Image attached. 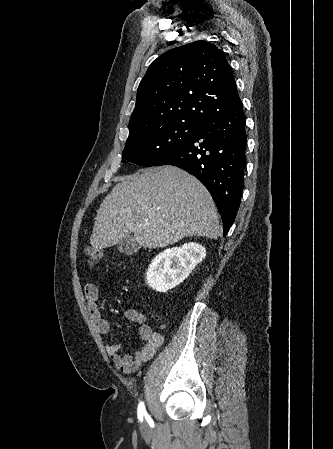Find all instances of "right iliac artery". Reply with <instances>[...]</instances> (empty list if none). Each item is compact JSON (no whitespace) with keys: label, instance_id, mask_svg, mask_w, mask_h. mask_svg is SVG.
Segmentation results:
<instances>
[{"label":"right iliac artery","instance_id":"obj_1","mask_svg":"<svg viewBox=\"0 0 333 449\" xmlns=\"http://www.w3.org/2000/svg\"><path fill=\"white\" fill-rule=\"evenodd\" d=\"M137 414H138V419L140 421L143 420V416L147 415L146 413V409H145V405L144 402H140L138 405V410H137Z\"/></svg>","mask_w":333,"mask_h":449}]
</instances>
